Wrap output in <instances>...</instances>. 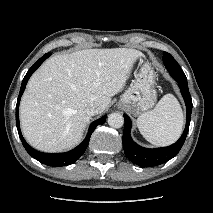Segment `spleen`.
I'll use <instances>...</instances> for the list:
<instances>
[{"label": "spleen", "instance_id": "obj_1", "mask_svg": "<svg viewBox=\"0 0 213 213\" xmlns=\"http://www.w3.org/2000/svg\"><path fill=\"white\" fill-rule=\"evenodd\" d=\"M184 116L181 106L172 94H166L151 111L137 119L143 137L153 145L166 146L174 143L181 135Z\"/></svg>", "mask_w": 213, "mask_h": 213}]
</instances>
